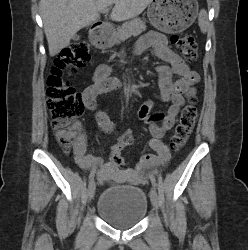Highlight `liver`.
<instances>
[{
  "label": "liver",
  "instance_id": "liver-1",
  "mask_svg": "<svg viewBox=\"0 0 248 250\" xmlns=\"http://www.w3.org/2000/svg\"><path fill=\"white\" fill-rule=\"evenodd\" d=\"M153 0H41L40 10L49 54L57 55L82 28L99 20V12L114 4L113 21L140 15Z\"/></svg>",
  "mask_w": 248,
  "mask_h": 250
}]
</instances>
